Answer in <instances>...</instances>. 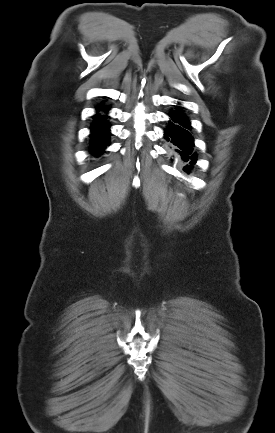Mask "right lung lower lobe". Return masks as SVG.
I'll use <instances>...</instances> for the list:
<instances>
[{"instance_id": "obj_1", "label": "right lung lower lobe", "mask_w": 275, "mask_h": 433, "mask_svg": "<svg viewBox=\"0 0 275 433\" xmlns=\"http://www.w3.org/2000/svg\"><path fill=\"white\" fill-rule=\"evenodd\" d=\"M97 110H103L107 112L109 110V106H105L101 104L97 107ZM107 115L96 114L94 116V121L91 125V145H90V153L94 154L98 157L100 154L104 152V149L107 145L110 144L109 141V128L110 124L106 121Z\"/></svg>"}]
</instances>
